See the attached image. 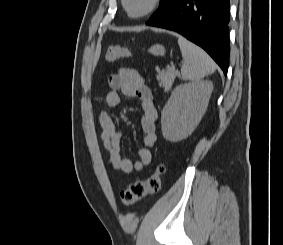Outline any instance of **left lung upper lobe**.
Listing matches in <instances>:
<instances>
[{"instance_id": "1", "label": "left lung upper lobe", "mask_w": 283, "mask_h": 245, "mask_svg": "<svg viewBox=\"0 0 283 245\" xmlns=\"http://www.w3.org/2000/svg\"><path fill=\"white\" fill-rule=\"evenodd\" d=\"M172 2L173 0H161L158 10L151 16V18L161 14Z\"/></svg>"}]
</instances>
